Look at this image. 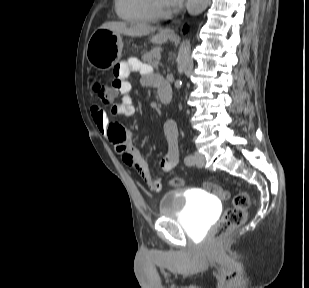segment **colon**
Returning <instances> with one entry per match:
<instances>
[{
	"label": "colon",
	"instance_id": "1",
	"mask_svg": "<svg viewBox=\"0 0 309 288\" xmlns=\"http://www.w3.org/2000/svg\"><path fill=\"white\" fill-rule=\"evenodd\" d=\"M88 84L91 92L98 99L106 103L110 102L118 93V84L113 83L112 85H109L95 75L90 76ZM169 184L173 187H183L185 185V181L183 178L176 176L170 179ZM205 188L207 191L217 195L223 200H227L231 197L230 192L218 184L207 182L205 183ZM153 189L156 191L159 190L155 188ZM249 205V194L246 191L237 192L232 197V205L225 210L222 218L214 226L211 232L212 240L217 241L222 239L232 229L243 224Z\"/></svg>",
	"mask_w": 309,
	"mask_h": 288
}]
</instances>
